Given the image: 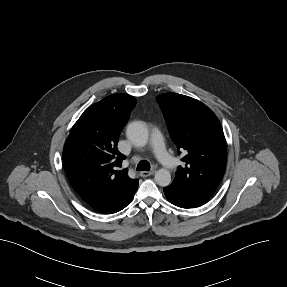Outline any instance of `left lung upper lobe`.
Masks as SVG:
<instances>
[{
  "instance_id": "obj_1",
  "label": "left lung upper lobe",
  "mask_w": 287,
  "mask_h": 287,
  "mask_svg": "<svg viewBox=\"0 0 287 287\" xmlns=\"http://www.w3.org/2000/svg\"><path fill=\"white\" fill-rule=\"evenodd\" d=\"M168 130L181 159L172 185L190 188L205 196L216 191L225 170L226 147L221 124L202 102L191 97L165 93L157 96Z\"/></svg>"
}]
</instances>
